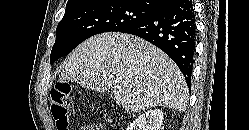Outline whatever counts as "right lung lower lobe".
Wrapping results in <instances>:
<instances>
[{
  "instance_id": "1",
  "label": "right lung lower lobe",
  "mask_w": 249,
  "mask_h": 130,
  "mask_svg": "<svg viewBox=\"0 0 249 130\" xmlns=\"http://www.w3.org/2000/svg\"><path fill=\"white\" fill-rule=\"evenodd\" d=\"M154 44L177 64L190 87L196 45V23L192 2L170 0L139 23L121 30Z\"/></svg>"
}]
</instances>
